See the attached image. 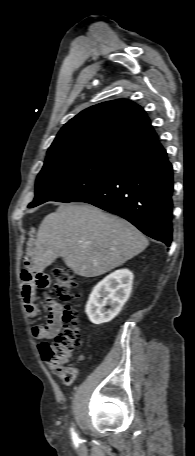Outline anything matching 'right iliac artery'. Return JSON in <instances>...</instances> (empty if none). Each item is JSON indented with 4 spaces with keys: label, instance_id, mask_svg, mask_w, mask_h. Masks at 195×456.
<instances>
[{
    "label": "right iliac artery",
    "instance_id": "obj_1",
    "mask_svg": "<svg viewBox=\"0 0 195 456\" xmlns=\"http://www.w3.org/2000/svg\"><path fill=\"white\" fill-rule=\"evenodd\" d=\"M71 431H72V437H73V439L76 440V439H77L76 433L73 431V429H71Z\"/></svg>",
    "mask_w": 195,
    "mask_h": 456
}]
</instances>
